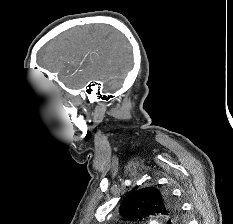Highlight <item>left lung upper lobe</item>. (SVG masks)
<instances>
[{"mask_svg":"<svg viewBox=\"0 0 233 224\" xmlns=\"http://www.w3.org/2000/svg\"><path fill=\"white\" fill-rule=\"evenodd\" d=\"M120 213L129 219H138L150 214H162L169 218V224L181 221L180 207L166 191L147 187L129 194L120 206Z\"/></svg>","mask_w":233,"mask_h":224,"instance_id":"obj_1","label":"left lung upper lobe"}]
</instances>
